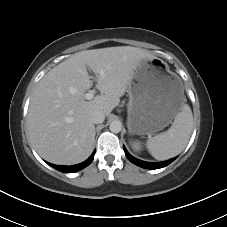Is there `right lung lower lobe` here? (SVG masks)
Here are the masks:
<instances>
[{
  "instance_id": "right-lung-lower-lobe-1",
  "label": "right lung lower lobe",
  "mask_w": 227,
  "mask_h": 227,
  "mask_svg": "<svg viewBox=\"0 0 227 227\" xmlns=\"http://www.w3.org/2000/svg\"><path fill=\"white\" fill-rule=\"evenodd\" d=\"M94 154L95 151L92 153V155L83 163L77 164V165H73V166H58V165H53L51 163H48L50 166H52L53 168H55L58 171L64 172V173H72V172H77L79 170H82L83 168L87 167L92 160L94 159Z\"/></svg>"
}]
</instances>
